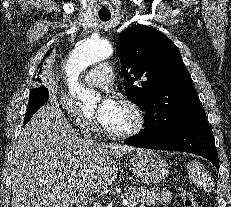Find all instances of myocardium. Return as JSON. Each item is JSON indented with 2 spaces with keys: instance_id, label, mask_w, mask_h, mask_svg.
<instances>
[{
  "instance_id": "1",
  "label": "myocardium",
  "mask_w": 231,
  "mask_h": 207,
  "mask_svg": "<svg viewBox=\"0 0 231 207\" xmlns=\"http://www.w3.org/2000/svg\"><path fill=\"white\" fill-rule=\"evenodd\" d=\"M120 104L127 107L133 114L134 117V125L125 131H113L108 129L104 124H102V132L113 139H127L134 137L141 133L146 125V117L141 109V107L135 103L133 100L129 98H122L120 100Z\"/></svg>"
}]
</instances>
